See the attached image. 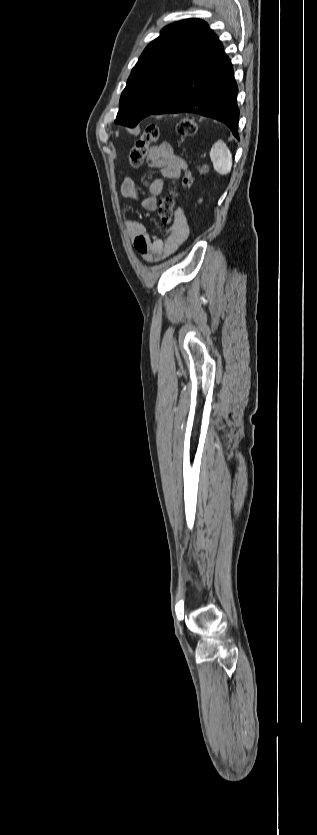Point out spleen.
I'll list each match as a JSON object with an SVG mask.
<instances>
[{"label":"spleen","instance_id":"obj_1","mask_svg":"<svg viewBox=\"0 0 317 835\" xmlns=\"http://www.w3.org/2000/svg\"><path fill=\"white\" fill-rule=\"evenodd\" d=\"M214 170L220 175H227L232 169V154L224 141L218 140L210 150Z\"/></svg>","mask_w":317,"mask_h":835}]
</instances>
